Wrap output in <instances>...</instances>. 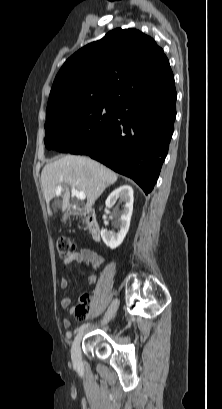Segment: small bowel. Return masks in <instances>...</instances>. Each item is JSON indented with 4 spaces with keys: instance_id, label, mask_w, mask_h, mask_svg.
Masks as SVG:
<instances>
[{
    "instance_id": "small-bowel-1",
    "label": "small bowel",
    "mask_w": 222,
    "mask_h": 409,
    "mask_svg": "<svg viewBox=\"0 0 222 409\" xmlns=\"http://www.w3.org/2000/svg\"><path fill=\"white\" fill-rule=\"evenodd\" d=\"M70 262H77L87 266H90L94 270H97L102 264V258L99 257L95 252L90 249H81L80 251L76 252L73 256L68 258L65 263ZM97 276L96 274H89L87 276V282L89 285H93L96 283ZM60 286L62 289H66L69 286V280L67 278H63L60 282ZM72 301L69 296H63L60 299V305L64 309H68L71 307ZM73 310V308H72ZM63 326L67 329L65 332V337L70 338L72 332L69 330L71 327V321L69 318H64Z\"/></svg>"
}]
</instances>
